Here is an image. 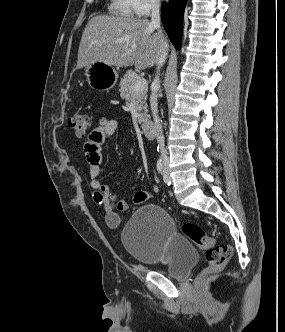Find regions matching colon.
<instances>
[{
  "mask_svg": "<svg viewBox=\"0 0 285 332\" xmlns=\"http://www.w3.org/2000/svg\"><path fill=\"white\" fill-rule=\"evenodd\" d=\"M69 127L77 136H84L90 128L88 116L84 113L74 114L69 119ZM182 231L199 248L206 250L208 265L203 270V274L221 269L230 260L232 255L231 247L227 244L216 243L213 238L207 236L200 225L188 222L183 225Z\"/></svg>",
  "mask_w": 285,
  "mask_h": 332,
  "instance_id": "colon-1",
  "label": "colon"
}]
</instances>
